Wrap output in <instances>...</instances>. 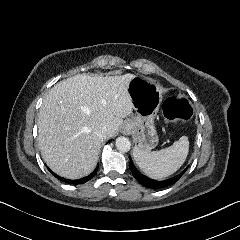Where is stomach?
I'll use <instances>...</instances> for the list:
<instances>
[{
    "label": "stomach",
    "instance_id": "stomach-1",
    "mask_svg": "<svg viewBox=\"0 0 240 240\" xmlns=\"http://www.w3.org/2000/svg\"><path fill=\"white\" fill-rule=\"evenodd\" d=\"M127 92L134 112L125 121L123 131L132 135L137 148L149 152L159 141L154 118L163 100V86L153 78L134 75Z\"/></svg>",
    "mask_w": 240,
    "mask_h": 240
}]
</instances>
